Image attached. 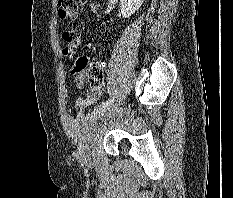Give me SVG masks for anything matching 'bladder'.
Segmentation results:
<instances>
[{"label": "bladder", "mask_w": 233, "mask_h": 198, "mask_svg": "<svg viewBox=\"0 0 233 198\" xmlns=\"http://www.w3.org/2000/svg\"><path fill=\"white\" fill-rule=\"evenodd\" d=\"M115 124V118L106 112L94 110L88 115H73L68 128L78 148L87 151L94 148L103 134Z\"/></svg>", "instance_id": "obj_1"}]
</instances>
